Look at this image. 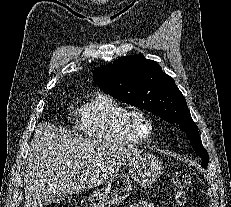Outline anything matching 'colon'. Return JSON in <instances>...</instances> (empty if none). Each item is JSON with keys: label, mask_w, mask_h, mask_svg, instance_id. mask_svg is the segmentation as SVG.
<instances>
[{"label": "colon", "mask_w": 231, "mask_h": 207, "mask_svg": "<svg viewBox=\"0 0 231 207\" xmlns=\"http://www.w3.org/2000/svg\"><path fill=\"white\" fill-rule=\"evenodd\" d=\"M172 181L174 184L175 202L177 205H182L191 186V176L186 171L176 170L172 173ZM46 207H76V204L70 198H61L51 201Z\"/></svg>", "instance_id": "1"}]
</instances>
